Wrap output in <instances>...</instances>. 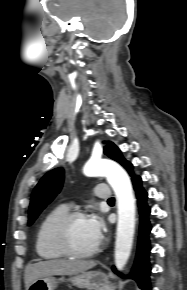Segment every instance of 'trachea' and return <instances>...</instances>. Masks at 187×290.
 Listing matches in <instances>:
<instances>
[{"mask_svg": "<svg viewBox=\"0 0 187 290\" xmlns=\"http://www.w3.org/2000/svg\"><path fill=\"white\" fill-rule=\"evenodd\" d=\"M108 201H114V198H110Z\"/></svg>", "mask_w": 187, "mask_h": 290, "instance_id": "1", "label": "trachea"}]
</instances>
